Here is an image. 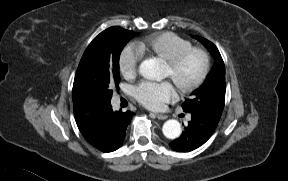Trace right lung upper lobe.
<instances>
[{"label":"right lung upper lobe","mask_w":288,"mask_h":181,"mask_svg":"<svg viewBox=\"0 0 288 181\" xmlns=\"http://www.w3.org/2000/svg\"><path fill=\"white\" fill-rule=\"evenodd\" d=\"M105 103L73 84V106L77 126L84 138L91 144L101 139L103 118L108 110Z\"/></svg>","instance_id":"cb5924a9"}]
</instances>
